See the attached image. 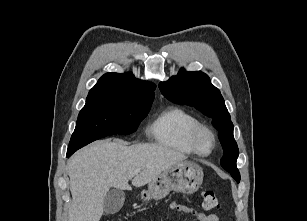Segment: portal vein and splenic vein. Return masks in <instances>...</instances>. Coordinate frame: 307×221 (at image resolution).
Instances as JSON below:
<instances>
[{
	"mask_svg": "<svg viewBox=\"0 0 307 221\" xmlns=\"http://www.w3.org/2000/svg\"><path fill=\"white\" fill-rule=\"evenodd\" d=\"M138 172H139V171L137 170V171H135V172L129 174V175H128V178H129V179L133 178Z\"/></svg>",
	"mask_w": 307,
	"mask_h": 221,
	"instance_id": "obj_1",
	"label": "portal vein and splenic vein"
}]
</instances>
